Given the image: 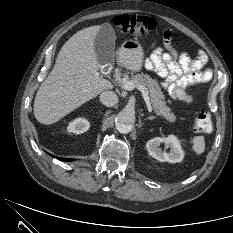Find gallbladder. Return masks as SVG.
<instances>
[{"label":"gallbladder","instance_id":"obj_1","mask_svg":"<svg viewBox=\"0 0 233 233\" xmlns=\"http://www.w3.org/2000/svg\"><path fill=\"white\" fill-rule=\"evenodd\" d=\"M115 32L108 23L102 24L94 38V50L100 63L112 59L115 54Z\"/></svg>","mask_w":233,"mask_h":233}]
</instances>
